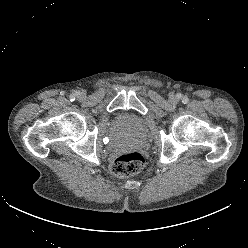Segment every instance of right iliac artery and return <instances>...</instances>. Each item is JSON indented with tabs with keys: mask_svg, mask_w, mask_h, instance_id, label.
<instances>
[{
	"mask_svg": "<svg viewBox=\"0 0 248 248\" xmlns=\"http://www.w3.org/2000/svg\"><path fill=\"white\" fill-rule=\"evenodd\" d=\"M70 100H71V101L75 100V95H74V94H71V95H70Z\"/></svg>",
	"mask_w": 248,
	"mask_h": 248,
	"instance_id": "obj_1",
	"label": "right iliac artery"
}]
</instances>
